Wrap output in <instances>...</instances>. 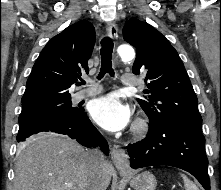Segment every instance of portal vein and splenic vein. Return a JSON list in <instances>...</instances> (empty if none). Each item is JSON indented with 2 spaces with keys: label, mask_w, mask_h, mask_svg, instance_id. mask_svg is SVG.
Listing matches in <instances>:
<instances>
[{
  "label": "portal vein and splenic vein",
  "mask_w": 221,
  "mask_h": 190,
  "mask_svg": "<svg viewBox=\"0 0 221 190\" xmlns=\"http://www.w3.org/2000/svg\"><path fill=\"white\" fill-rule=\"evenodd\" d=\"M68 187H72V184L71 183H67L66 184Z\"/></svg>",
  "instance_id": "18ae733b"
}]
</instances>
